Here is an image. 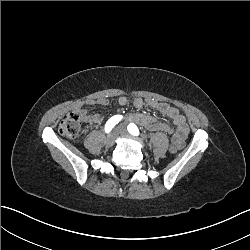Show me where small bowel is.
<instances>
[{
	"instance_id": "obj_1",
	"label": "small bowel",
	"mask_w": 250,
	"mask_h": 250,
	"mask_svg": "<svg viewBox=\"0 0 250 250\" xmlns=\"http://www.w3.org/2000/svg\"><path fill=\"white\" fill-rule=\"evenodd\" d=\"M130 102L131 101L129 100V98L125 96H121L119 98V104L121 106L128 105L130 104ZM145 102L150 108L158 111L162 115L171 119L173 122V126L168 123L158 121L155 117L151 115H146L142 113L128 114L126 119L128 121L135 122L136 124L143 126L150 131H158L166 134L173 133L172 141H177L179 147H181L189 133V128L186 123L185 117L179 112V110L176 107L171 106L167 103L158 102L153 98H147L145 99ZM108 103L109 101L106 98H101L98 99L97 101H90L88 104L90 106H93L95 104L106 106L108 105ZM142 105H143L142 99H136L134 101V106L136 108H141ZM77 113H79L81 119L93 124H98L103 120V118L98 114H92V115L88 114L86 109H77Z\"/></svg>"
}]
</instances>
